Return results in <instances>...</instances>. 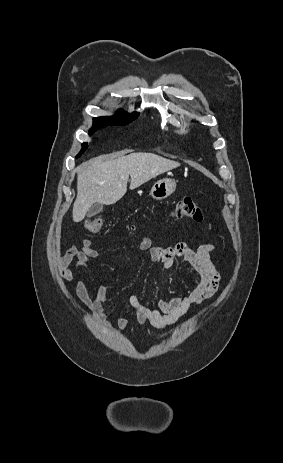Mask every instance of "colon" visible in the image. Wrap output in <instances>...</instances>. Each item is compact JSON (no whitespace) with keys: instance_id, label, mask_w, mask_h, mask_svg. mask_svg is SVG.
I'll return each instance as SVG.
<instances>
[{"instance_id":"colon-1","label":"colon","mask_w":283,"mask_h":463,"mask_svg":"<svg viewBox=\"0 0 283 463\" xmlns=\"http://www.w3.org/2000/svg\"><path fill=\"white\" fill-rule=\"evenodd\" d=\"M175 219H189L200 222L204 219V214L200 207L195 204L190 198H184L176 203L173 211ZM103 219L96 217L85 220V228L92 233H99L103 227Z\"/></svg>"}]
</instances>
